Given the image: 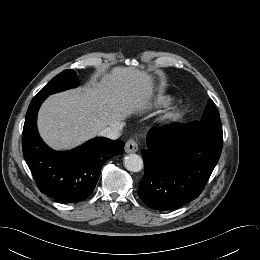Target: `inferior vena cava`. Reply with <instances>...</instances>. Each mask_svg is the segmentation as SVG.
I'll use <instances>...</instances> for the list:
<instances>
[{
	"label": "inferior vena cava",
	"instance_id": "inferior-vena-cava-1",
	"mask_svg": "<svg viewBox=\"0 0 260 260\" xmlns=\"http://www.w3.org/2000/svg\"><path fill=\"white\" fill-rule=\"evenodd\" d=\"M123 128L122 123L112 124L109 127H106L100 132V135L109 139H117L120 136V131Z\"/></svg>",
	"mask_w": 260,
	"mask_h": 260
}]
</instances>
